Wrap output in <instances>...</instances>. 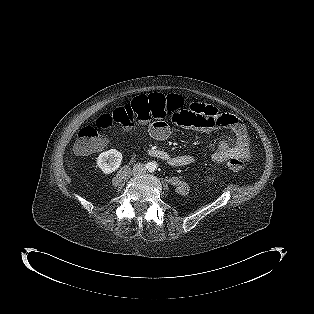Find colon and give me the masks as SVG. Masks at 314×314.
I'll list each match as a JSON object with an SVG mask.
<instances>
[{"mask_svg":"<svg viewBox=\"0 0 314 314\" xmlns=\"http://www.w3.org/2000/svg\"><path fill=\"white\" fill-rule=\"evenodd\" d=\"M183 107L182 97L176 94L153 93L137 96L111 114L100 115L95 125L82 127L74 143V151L78 155H87L101 150L104 138L99 130H111L115 125L130 127L135 123L147 124L158 119H171L172 113ZM227 165L232 170H240L243 167L242 161L236 158L229 159Z\"/></svg>","mask_w":314,"mask_h":314,"instance_id":"obj_1","label":"colon"}]
</instances>
